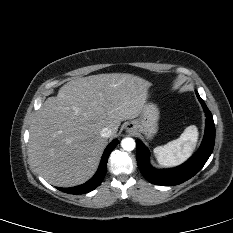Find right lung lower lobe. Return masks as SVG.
<instances>
[{
	"mask_svg": "<svg viewBox=\"0 0 233 233\" xmlns=\"http://www.w3.org/2000/svg\"><path fill=\"white\" fill-rule=\"evenodd\" d=\"M117 143H118V140H114L111 144L108 145V147L106 148V150L102 156L99 169L97 170L96 174L94 175V177L92 179H90L86 183L79 185V186H76V187L57 188V189H59L62 192H66V193H70V194H84V193H88V192L94 190L96 187H98L105 176L106 169H107L108 157H109L110 153L112 152V150L117 145Z\"/></svg>",
	"mask_w": 233,
	"mask_h": 233,
	"instance_id": "98d812e1",
	"label": "right lung lower lobe"
}]
</instances>
